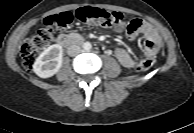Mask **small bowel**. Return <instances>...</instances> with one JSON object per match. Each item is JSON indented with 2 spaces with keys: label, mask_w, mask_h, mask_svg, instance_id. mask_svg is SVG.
Wrapping results in <instances>:
<instances>
[{
  "label": "small bowel",
  "mask_w": 194,
  "mask_h": 133,
  "mask_svg": "<svg viewBox=\"0 0 194 133\" xmlns=\"http://www.w3.org/2000/svg\"><path fill=\"white\" fill-rule=\"evenodd\" d=\"M116 31L125 32L129 39L134 40L138 35L142 34L145 38L144 48L146 56L155 57L161 48V38L154 26L141 19H133L128 21L125 26L116 27ZM114 56L119 63L125 68H133L135 61L129 52L122 48L117 47L114 49Z\"/></svg>",
  "instance_id": "1"
}]
</instances>
